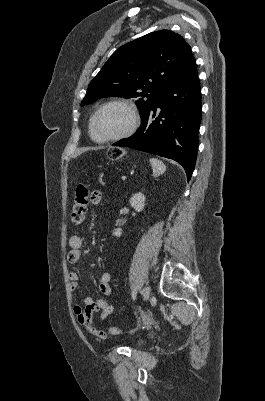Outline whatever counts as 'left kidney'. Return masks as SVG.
Masks as SVG:
<instances>
[{
  "label": "left kidney",
  "mask_w": 265,
  "mask_h": 401,
  "mask_svg": "<svg viewBox=\"0 0 265 401\" xmlns=\"http://www.w3.org/2000/svg\"><path fill=\"white\" fill-rule=\"evenodd\" d=\"M131 207L137 211V213H141L144 209V203H145V196L142 194V192H136V194H132L130 201H129ZM114 237H121L122 235V229H114L113 233Z\"/></svg>",
  "instance_id": "5707ae66"
}]
</instances>
